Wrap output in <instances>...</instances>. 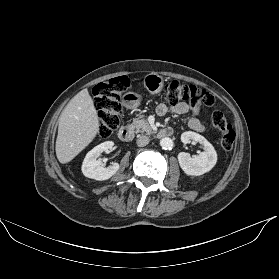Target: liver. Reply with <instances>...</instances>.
I'll return each mask as SVG.
<instances>
[{"instance_id":"obj_1","label":"liver","mask_w":279,"mask_h":279,"mask_svg":"<svg viewBox=\"0 0 279 279\" xmlns=\"http://www.w3.org/2000/svg\"><path fill=\"white\" fill-rule=\"evenodd\" d=\"M56 156L60 163L73 160L99 132V117L87 89L76 94L59 117Z\"/></svg>"}]
</instances>
